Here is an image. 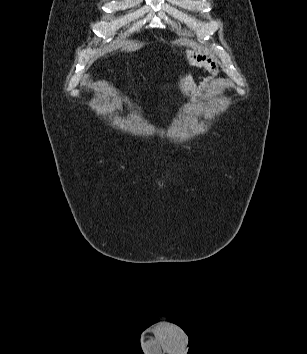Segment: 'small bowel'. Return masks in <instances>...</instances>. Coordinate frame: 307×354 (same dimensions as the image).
<instances>
[{
  "label": "small bowel",
  "mask_w": 307,
  "mask_h": 354,
  "mask_svg": "<svg viewBox=\"0 0 307 354\" xmlns=\"http://www.w3.org/2000/svg\"><path fill=\"white\" fill-rule=\"evenodd\" d=\"M185 58L189 65L202 68L210 72L211 75L205 78L204 85H209L217 76V63L208 54L197 49H191L186 52ZM178 81L182 93L188 99H194L200 88L194 83L190 73L186 71L180 72Z\"/></svg>",
  "instance_id": "c3829d8e"
}]
</instances>
